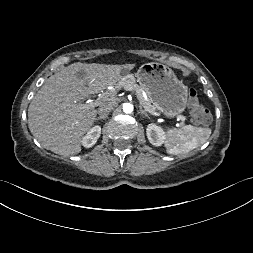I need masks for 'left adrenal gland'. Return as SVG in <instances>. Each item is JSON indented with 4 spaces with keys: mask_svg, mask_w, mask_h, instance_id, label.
Returning a JSON list of instances; mask_svg holds the SVG:
<instances>
[{
    "mask_svg": "<svg viewBox=\"0 0 253 253\" xmlns=\"http://www.w3.org/2000/svg\"><path fill=\"white\" fill-rule=\"evenodd\" d=\"M139 109H140L139 113L141 115H145L147 118L150 119V116L148 115V113L145 110H143L141 106H139Z\"/></svg>",
    "mask_w": 253,
    "mask_h": 253,
    "instance_id": "obj_1",
    "label": "left adrenal gland"
}]
</instances>
